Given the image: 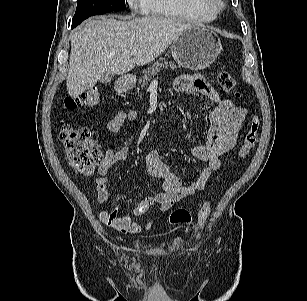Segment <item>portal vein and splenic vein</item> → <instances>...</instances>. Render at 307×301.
Wrapping results in <instances>:
<instances>
[{
	"mask_svg": "<svg viewBox=\"0 0 307 301\" xmlns=\"http://www.w3.org/2000/svg\"><path fill=\"white\" fill-rule=\"evenodd\" d=\"M136 54H137L136 51H131V52H130V55H136Z\"/></svg>",
	"mask_w": 307,
	"mask_h": 301,
	"instance_id": "18ae733b",
	"label": "portal vein and splenic vein"
}]
</instances>
